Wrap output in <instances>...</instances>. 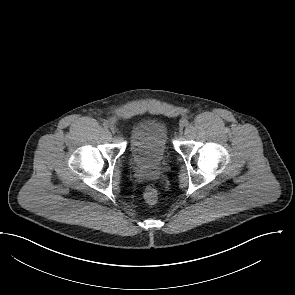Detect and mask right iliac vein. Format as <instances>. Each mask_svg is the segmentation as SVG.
<instances>
[{
  "mask_svg": "<svg viewBox=\"0 0 295 295\" xmlns=\"http://www.w3.org/2000/svg\"><path fill=\"white\" fill-rule=\"evenodd\" d=\"M110 129H111V131H112L113 133H114V132H115V130H116L114 126H111V128H110Z\"/></svg>",
  "mask_w": 295,
  "mask_h": 295,
  "instance_id": "right-iliac-vein-1",
  "label": "right iliac vein"
}]
</instances>
